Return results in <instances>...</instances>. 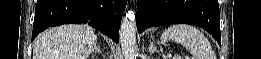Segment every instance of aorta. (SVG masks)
<instances>
[{
  "label": "aorta",
  "mask_w": 261,
  "mask_h": 59,
  "mask_svg": "<svg viewBox=\"0 0 261 59\" xmlns=\"http://www.w3.org/2000/svg\"><path fill=\"white\" fill-rule=\"evenodd\" d=\"M136 31L135 15L132 11H128L122 19L120 28V43L125 59L137 58Z\"/></svg>",
  "instance_id": "aorta-1"
}]
</instances>
